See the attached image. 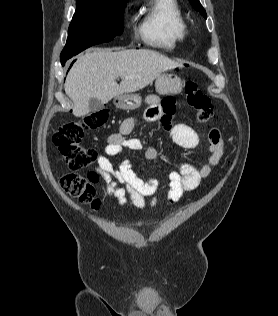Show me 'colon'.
Segmentation results:
<instances>
[{
    "instance_id": "5ec220e1",
    "label": "colon",
    "mask_w": 278,
    "mask_h": 316,
    "mask_svg": "<svg viewBox=\"0 0 278 316\" xmlns=\"http://www.w3.org/2000/svg\"><path fill=\"white\" fill-rule=\"evenodd\" d=\"M187 103L197 111L199 122H207L213 115L209 97L202 91L198 82L189 80L185 86ZM107 120V113L100 111L89 114L77 121L60 126L53 134V142L67 162L72 172L61 178L62 189L81 202L89 203L93 208L99 207L94 184L97 175L90 173L87 177L76 171L91 166L97 159V152L81 145L84 134L89 130L102 127Z\"/></svg>"
}]
</instances>
